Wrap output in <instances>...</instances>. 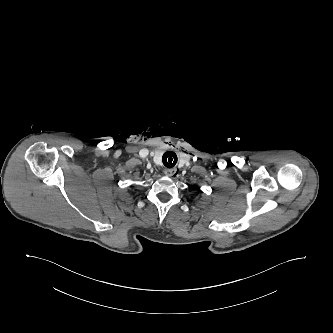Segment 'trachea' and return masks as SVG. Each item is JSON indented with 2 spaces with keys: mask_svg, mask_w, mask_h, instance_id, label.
<instances>
[{
  "mask_svg": "<svg viewBox=\"0 0 333 333\" xmlns=\"http://www.w3.org/2000/svg\"><path fill=\"white\" fill-rule=\"evenodd\" d=\"M162 160L166 167L172 168L177 163V155L173 151H167L163 154Z\"/></svg>",
  "mask_w": 333,
  "mask_h": 333,
  "instance_id": "obj_1",
  "label": "trachea"
}]
</instances>
